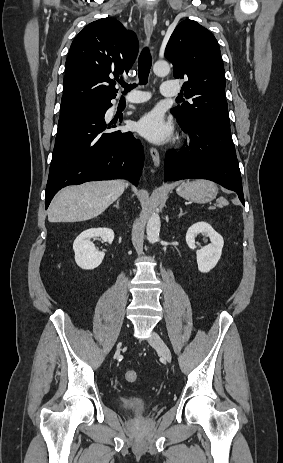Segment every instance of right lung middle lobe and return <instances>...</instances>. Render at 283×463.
Listing matches in <instances>:
<instances>
[{
	"instance_id": "obj_1",
	"label": "right lung middle lobe",
	"mask_w": 283,
	"mask_h": 463,
	"mask_svg": "<svg viewBox=\"0 0 283 463\" xmlns=\"http://www.w3.org/2000/svg\"><path fill=\"white\" fill-rule=\"evenodd\" d=\"M80 109H81V108H80ZM77 110H79V109H77ZM75 111H76V110H75ZM72 112H74V111H72ZM72 112L61 113V114H60V117L65 116V115H68V114H70V113H72Z\"/></svg>"
}]
</instances>
